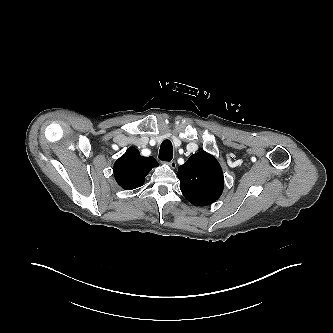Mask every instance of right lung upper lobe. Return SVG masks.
<instances>
[{"mask_svg":"<svg viewBox=\"0 0 333 333\" xmlns=\"http://www.w3.org/2000/svg\"><path fill=\"white\" fill-rule=\"evenodd\" d=\"M158 162L152 157H143L139 151L130 147L114 164V176L124 189H135L145 181V176Z\"/></svg>","mask_w":333,"mask_h":333,"instance_id":"right-lung-upper-lobe-1","label":"right lung upper lobe"}]
</instances>
